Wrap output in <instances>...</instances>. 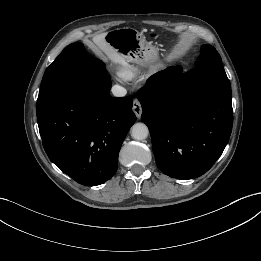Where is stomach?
I'll list each match as a JSON object with an SVG mask.
<instances>
[{
  "instance_id": "stomach-1",
  "label": "stomach",
  "mask_w": 261,
  "mask_h": 261,
  "mask_svg": "<svg viewBox=\"0 0 261 261\" xmlns=\"http://www.w3.org/2000/svg\"><path fill=\"white\" fill-rule=\"evenodd\" d=\"M105 40L128 62L148 65L157 57V48L141 33L130 27L107 32Z\"/></svg>"
}]
</instances>
